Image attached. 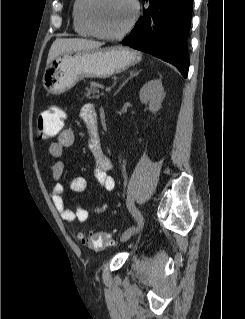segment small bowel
I'll return each instance as SVG.
<instances>
[{
    "label": "small bowel",
    "instance_id": "small-bowel-1",
    "mask_svg": "<svg viewBox=\"0 0 245 319\" xmlns=\"http://www.w3.org/2000/svg\"><path fill=\"white\" fill-rule=\"evenodd\" d=\"M80 116L84 123L89 127L94 137L98 135V113L94 105L86 104L82 107ZM75 135L71 129H64L58 139L52 142L49 146V154L55 159L52 164L51 171L55 180H59L64 175L63 156L65 152L74 144ZM92 153L95 158L96 166L94 174L100 186L106 192H112L115 189L116 182L113 176L108 174L114 168L113 161L103 153L101 146L95 140L92 148ZM86 188V179L81 176L74 177L68 186V189L73 193H81ZM65 187L61 183L54 185L51 191L53 204L59 213L60 217L67 223L78 221L83 224L87 221L90 211L82 206H77L75 210L69 209L64 202L63 193ZM107 208L106 204L92 209V213L101 214Z\"/></svg>",
    "mask_w": 245,
    "mask_h": 319
}]
</instances>
